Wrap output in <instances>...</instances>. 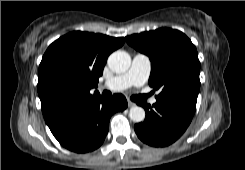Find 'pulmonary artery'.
Wrapping results in <instances>:
<instances>
[{"instance_id":"pulmonary-artery-1","label":"pulmonary artery","mask_w":245,"mask_h":170,"mask_svg":"<svg viewBox=\"0 0 245 170\" xmlns=\"http://www.w3.org/2000/svg\"><path fill=\"white\" fill-rule=\"evenodd\" d=\"M150 71L149 57L138 53L133 57L132 64L126 73L107 80L102 87L110 91H120L132 85L141 86L147 81ZM151 103H156V98H153Z\"/></svg>"}]
</instances>
